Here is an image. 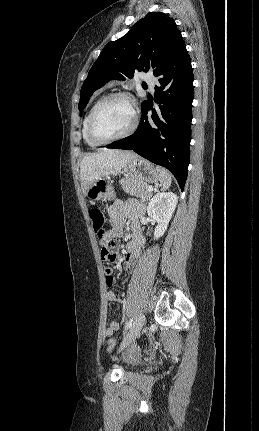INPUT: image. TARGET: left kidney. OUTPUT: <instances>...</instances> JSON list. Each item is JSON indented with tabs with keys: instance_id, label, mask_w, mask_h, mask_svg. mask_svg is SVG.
<instances>
[{
	"instance_id": "obj_1",
	"label": "left kidney",
	"mask_w": 259,
	"mask_h": 431,
	"mask_svg": "<svg viewBox=\"0 0 259 431\" xmlns=\"http://www.w3.org/2000/svg\"><path fill=\"white\" fill-rule=\"evenodd\" d=\"M178 202L173 192H159L149 202L147 213L158 224L154 230V239L164 235Z\"/></svg>"
}]
</instances>
